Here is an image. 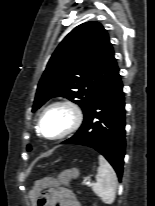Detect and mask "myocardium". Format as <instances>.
Listing matches in <instances>:
<instances>
[{"label":"myocardium","mask_w":155,"mask_h":206,"mask_svg":"<svg viewBox=\"0 0 155 206\" xmlns=\"http://www.w3.org/2000/svg\"><path fill=\"white\" fill-rule=\"evenodd\" d=\"M55 109H63L65 111L68 112L69 114V123L67 125V127L58 135L56 136H46L44 135L43 131H42V123H43V119L44 117L52 110ZM84 119V114L83 111L80 107V105L71 99H61V100H57L51 104H49L40 114L38 122H37V132L38 134L48 140H62L66 137H68L69 135L73 134L74 132H76Z\"/></svg>","instance_id":"f54148a6"}]
</instances>
